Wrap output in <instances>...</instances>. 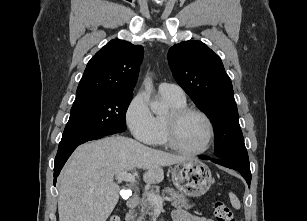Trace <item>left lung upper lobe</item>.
Returning <instances> with one entry per match:
<instances>
[{
	"mask_svg": "<svg viewBox=\"0 0 307 221\" xmlns=\"http://www.w3.org/2000/svg\"><path fill=\"white\" fill-rule=\"evenodd\" d=\"M177 83L215 126V155L249 165L232 83L220 57L201 41H184L168 51Z\"/></svg>",
	"mask_w": 307,
	"mask_h": 221,
	"instance_id": "1",
	"label": "left lung upper lobe"
}]
</instances>
